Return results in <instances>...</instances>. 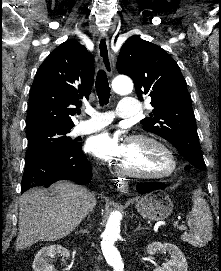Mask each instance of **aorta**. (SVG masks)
Instances as JSON below:
<instances>
[{
	"label": "aorta",
	"mask_w": 221,
	"mask_h": 271,
	"mask_svg": "<svg viewBox=\"0 0 221 271\" xmlns=\"http://www.w3.org/2000/svg\"><path fill=\"white\" fill-rule=\"evenodd\" d=\"M112 88L116 93L126 95L132 92L133 82L128 77H116L112 82ZM120 220L121 214L119 212L113 211L110 214L101 241L103 255L114 271L124 270L120 252L114 245L120 237Z\"/></svg>",
	"instance_id": "1"
}]
</instances>
